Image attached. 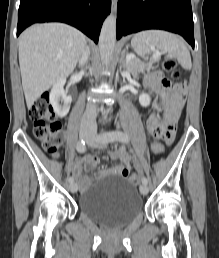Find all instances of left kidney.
Masks as SVG:
<instances>
[{
    "label": "left kidney",
    "instance_id": "left-kidney-1",
    "mask_svg": "<svg viewBox=\"0 0 219 258\" xmlns=\"http://www.w3.org/2000/svg\"><path fill=\"white\" fill-rule=\"evenodd\" d=\"M139 102L142 106L147 107L150 104V96L146 93H142L139 96Z\"/></svg>",
    "mask_w": 219,
    "mask_h": 258
}]
</instances>
